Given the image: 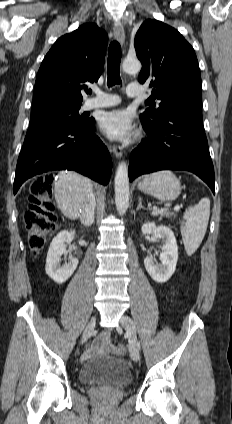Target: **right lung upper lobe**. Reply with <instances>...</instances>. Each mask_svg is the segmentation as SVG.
<instances>
[{"instance_id": "obj_1", "label": "right lung upper lobe", "mask_w": 232, "mask_h": 424, "mask_svg": "<svg viewBox=\"0 0 232 424\" xmlns=\"http://www.w3.org/2000/svg\"><path fill=\"white\" fill-rule=\"evenodd\" d=\"M108 36L94 23L60 37L37 74L32 108L47 104L81 105L85 82L97 81L105 59Z\"/></svg>"}]
</instances>
